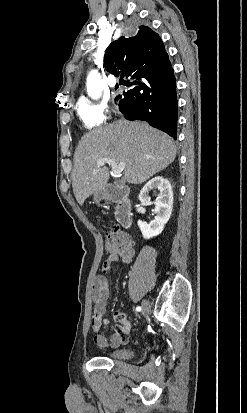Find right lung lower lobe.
<instances>
[{
  "label": "right lung lower lobe",
  "instance_id": "1",
  "mask_svg": "<svg viewBox=\"0 0 247 413\" xmlns=\"http://www.w3.org/2000/svg\"><path fill=\"white\" fill-rule=\"evenodd\" d=\"M131 78L136 79L133 84L137 86L119 96L118 107L124 117L144 120L176 139L178 107L176 81L170 61Z\"/></svg>",
  "mask_w": 247,
  "mask_h": 413
}]
</instances>
